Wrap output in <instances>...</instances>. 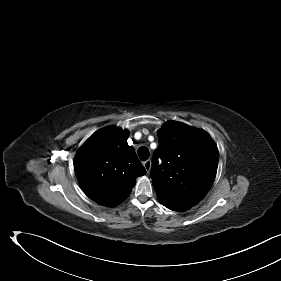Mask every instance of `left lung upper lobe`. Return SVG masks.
I'll list each match as a JSON object with an SVG mask.
<instances>
[{
	"instance_id": "obj_1",
	"label": "left lung upper lobe",
	"mask_w": 281,
	"mask_h": 281,
	"mask_svg": "<svg viewBox=\"0 0 281 281\" xmlns=\"http://www.w3.org/2000/svg\"><path fill=\"white\" fill-rule=\"evenodd\" d=\"M159 148L151 171L159 201L167 208H191L211 188L218 166L219 152L211 136L177 121L158 130ZM158 158L162 165L158 166Z\"/></svg>"
}]
</instances>
